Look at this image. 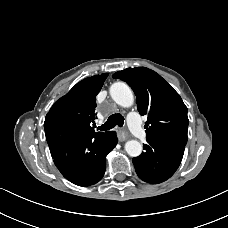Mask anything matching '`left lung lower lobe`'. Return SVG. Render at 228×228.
<instances>
[{
	"label": "left lung lower lobe",
	"mask_w": 228,
	"mask_h": 228,
	"mask_svg": "<svg viewBox=\"0 0 228 228\" xmlns=\"http://www.w3.org/2000/svg\"><path fill=\"white\" fill-rule=\"evenodd\" d=\"M144 152L132 159L139 178L158 184L169 179L179 167L185 145L167 138H147Z\"/></svg>",
	"instance_id": "1"
}]
</instances>
